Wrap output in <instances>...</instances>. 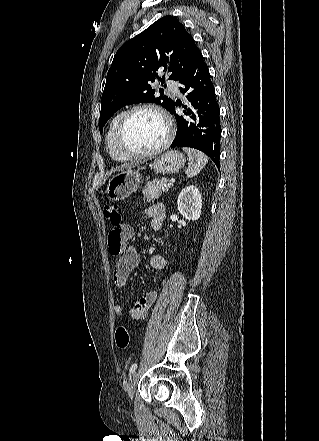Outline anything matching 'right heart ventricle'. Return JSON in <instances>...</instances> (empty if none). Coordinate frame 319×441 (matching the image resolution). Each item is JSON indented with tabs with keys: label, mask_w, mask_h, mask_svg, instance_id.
I'll return each instance as SVG.
<instances>
[{
	"label": "right heart ventricle",
	"mask_w": 319,
	"mask_h": 441,
	"mask_svg": "<svg viewBox=\"0 0 319 441\" xmlns=\"http://www.w3.org/2000/svg\"><path fill=\"white\" fill-rule=\"evenodd\" d=\"M124 112L117 113L111 120L109 127L106 133V145L107 150L110 157L118 162H124L129 159V157L125 156L117 147L115 140V132L118 125L119 120L121 119Z\"/></svg>",
	"instance_id": "1"
}]
</instances>
